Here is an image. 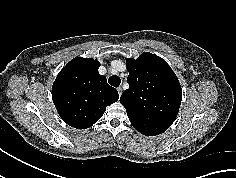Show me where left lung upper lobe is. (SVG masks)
Listing matches in <instances>:
<instances>
[{"instance_id": "1", "label": "left lung upper lobe", "mask_w": 236, "mask_h": 178, "mask_svg": "<svg viewBox=\"0 0 236 178\" xmlns=\"http://www.w3.org/2000/svg\"><path fill=\"white\" fill-rule=\"evenodd\" d=\"M129 89L120 97L133 127L147 136L166 131L174 122L182 99L181 86L170 66L144 52L126 59Z\"/></svg>"}]
</instances>
